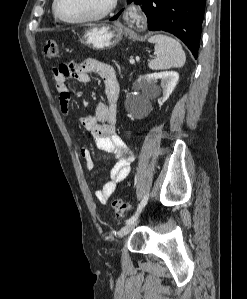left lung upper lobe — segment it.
<instances>
[{
    "label": "left lung upper lobe",
    "instance_id": "5c2ea615",
    "mask_svg": "<svg viewBox=\"0 0 247 299\" xmlns=\"http://www.w3.org/2000/svg\"><path fill=\"white\" fill-rule=\"evenodd\" d=\"M133 0H127V3H131Z\"/></svg>",
    "mask_w": 247,
    "mask_h": 299
}]
</instances>
